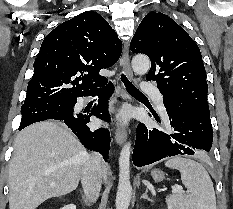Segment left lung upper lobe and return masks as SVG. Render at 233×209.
Instances as JSON below:
<instances>
[{
  "label": "left lung upper lobe",
  "instance_id": "1",
  "mask_svg": "<svg viewBox=\"0 0 233 209\" xmlns=\"http://www.w3.org/2000/svg\"><path fill=\"white\" fill-rule=\"evenodd\" d=\"M130 49L151 59L146 80L156 81L157 88L170 103L185 105L210 116L200 50L173 19L163 13H148L136 31Z\"/></svg>",
  "mask_w": 233,
  "mask_h": 209
}]
</instances>
